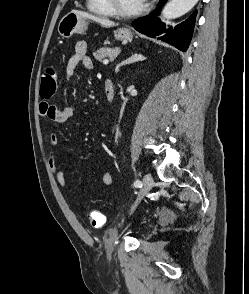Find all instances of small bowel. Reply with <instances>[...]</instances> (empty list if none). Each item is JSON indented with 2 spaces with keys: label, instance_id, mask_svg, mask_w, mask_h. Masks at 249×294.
I'll use <instances>...</instances> for the list:
<instances>
[{
  "label": "small bowel",
  "instance_id": "c3829d8e",
  "mask_svg": "<svg viewBox=\"0 0 249 294\" xmlns=\"http://www.w3.org/2000/svg\"><path fill=\"white\" fill-rule=\"evenodd\" d=\"M87 43L80 41L75 45L74 51L70 56L66 73L68 77H72L76 68L81 66L85 70H91L93 68V62L87 55ZM40 115L46 119L49 123H64L76 114V109L72 106H68L60 109L54 104L48 102H41L39 105ZM47 143L50 146L49 165L50 168L62 188L67 187V179L65 173L58 168L56 164V150L58 145V137L56 134L49 132L47 135ZM113 182L110 172L105 170L102 174V184L105 187L111 186Z\"/></svg>",
  "mask_w": 249,
  "mask_h": 294
}]
</instances>
